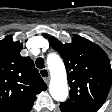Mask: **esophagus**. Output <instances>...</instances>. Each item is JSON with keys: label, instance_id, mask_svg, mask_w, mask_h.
<instances>
[{"label": "esophagus", "instance_id": "esophagus-1", "mask_svg": "<svg viewBox=\"0 0 112 112\" xmlns=\"http://www.w3.org/2000/svg\"><path fill=\"white\" fill-rule=\"evenodd\" d=\"M40 75L42 76L43 80L45 81L46 84L49 83L50 80V74L47 68L41 69L39 71Z\"/></svg>", "mask_w": 112, "mask_h": 112}]
</instances>
